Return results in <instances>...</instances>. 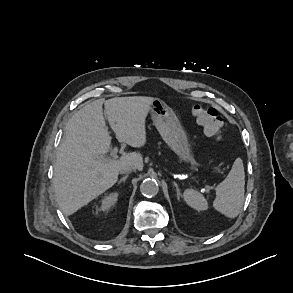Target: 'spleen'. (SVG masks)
<instances>
[{
    "label": "spleen",
    "instance_id": "1",
    "mask_svg": "<svg viewBox=\"0 0 293 293\" xmlns=\"http://www.w3.org/2000/svg\"><path fill=\"white\" fill-rule=\"evenodd\" d=\"M245 172L241 158H237L227 177L217 185L216 198L213 202L215 210L228 218H235L244 203ZM184 201L197 211L208 208L207 200L194 189H187L183 193Z\"/></svg>",
    "mask_w": 293,
    "mask_h": 293
}]
</instances>
